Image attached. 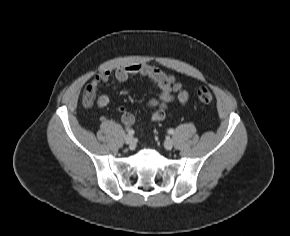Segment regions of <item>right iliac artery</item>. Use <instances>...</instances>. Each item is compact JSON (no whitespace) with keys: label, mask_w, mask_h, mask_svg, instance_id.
Here are the masks:
<instances>
[{"label":"right iliac artery","mask_w":290,"mask_h":236,"mask_svg":"<svg viewBox=\"0 0 290 236\" xmlns=\"http://www.w3.org/2000/svg\"><path fill=\"white\" fill-rule=\"evenodd\" d=\"M128 134L129 135H133L134 134V130H132V129L131 130H128Z\"/></svg>","instance_id":"1"}]
</instances>
